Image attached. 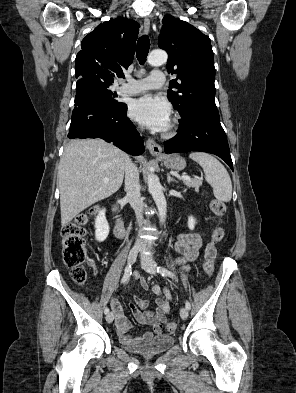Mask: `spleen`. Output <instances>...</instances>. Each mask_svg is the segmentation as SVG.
<instances>
[{
	"instance_id": "obj_1",
	"label": "spleen",
	"mask_w": 296,
	"mask_h": 393,
	"mask_svg": "<svg viewBox=\"0 0 296 393\" xmlns=\"http://www.w3.org/2000/svg\"><path fill=\"white\" fill-rule=\"evenodd\" d=\"M189 157L203 168L215 198L221 202H229L232 198V182L225 167L207 153L193 152Z\"/></svg>"
}]
</instances>
